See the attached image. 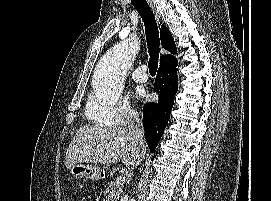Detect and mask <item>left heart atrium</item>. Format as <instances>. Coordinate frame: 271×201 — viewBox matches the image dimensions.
Returning <instances> with one entry per match:
<instances>
[{
	"label": "left heart atrium",
	"instance_id": "1",
	"mask_svg": "<svg viewBox=\"0 0 271 201\" xmlns=\"http://www.w3.org/2000/svg\"><path fill=\"white\" fill-rule=\"evenodd\" d=\"M138 95L143 99H148V95L146 94L144 90H139Z\"/></svg>",
	"mask_w": 271,
	"mask_h": 201
}]
</instances>
